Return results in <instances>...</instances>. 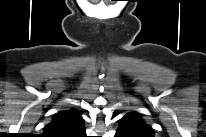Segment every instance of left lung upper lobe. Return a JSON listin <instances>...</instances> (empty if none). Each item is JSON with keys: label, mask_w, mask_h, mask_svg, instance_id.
Segmentation results:
<instances>
[{"label": "left lung upper lobe", "mask_w": 206, "mask_h": 137, "mask_svg": "<svg viewBox=\"0 0 206 137\" xmlns=\"http://www.w3.org/2000/svg\"><path fill=\"white\" fill-rule=\"evenodd\" d=\"M119 131L131 133L133 137H153L154 130L137 112H129L120 120Z\"/></svg>", "instance_id": "1"}]
</instances>
